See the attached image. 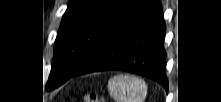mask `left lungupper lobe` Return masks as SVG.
<instances>
[{
  "label": "left lung upper lobe",
  "mask_w": 221,
  "mask_h": 102,
  "mask_svg": "<svg viewBox=\"0 0 221 102\" xmlns=\"http://www.w3.org/2000/svg\"><path fill=\"white\" fill-rule=\"evenodd\" d=\"M136 1L69 0L55 40L46 90L71 78Z\"/></svg>",
  "instance_id": "left-lung-upper-lobe-1"
}]
</instances>
